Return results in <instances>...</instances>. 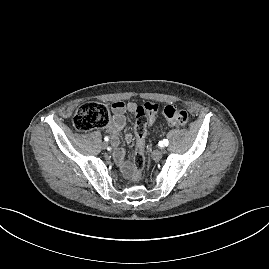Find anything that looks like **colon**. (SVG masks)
Wrapping results in <instances>:
<instances>
[{
	"mask_svg": "<svg viewBox=\"0 0 269 269\" xmlns=\"http://www.w3.org/2000/svg\"><path fill=\"white\" fill-rule=\"evenodd\" d=\"M158 112V105L154 103H146L138 106L136 112V149L134 154V174L133 179H138L141 170L145 166V148L147 127ZM163 116L170 126H185L188 123V113L186 110L177 106L169 105L163 109ZM110 120V111L104 104L90 102L80 106L74 117L73 125L78 131H89L96 128L105 127Z\"/></svg>",
	"mask_w": 269,
	"mask_h": 269,
	"instance_id": "1",
	"label": "colon"
}]
</instances>
